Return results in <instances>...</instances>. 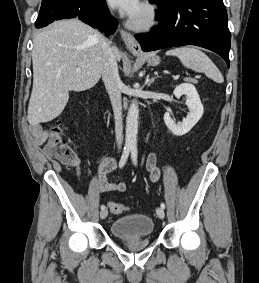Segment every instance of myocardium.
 Listing matches in <instances>:
<instances>
[{"instance_id":"obj_1","label":"myocardium","mask_w":259,"mask_h":283,"mask_svg":"<svg viewBox=\"0 0 259 283\" xmlns=\"http://www.w3.org/2000/svg\"><path fill=\"white\" fill-rule=\"evenodd\" d=\"M141 9L143 18L141 20L131 18L127 23L128 27L134 31H147L157 23V11L151 3L144 2Z\"/></svg>"}]
</instances>
